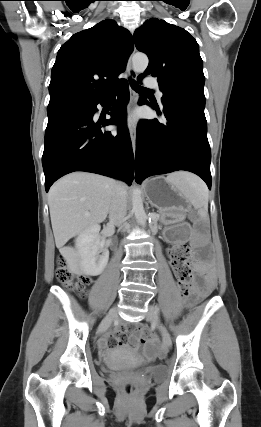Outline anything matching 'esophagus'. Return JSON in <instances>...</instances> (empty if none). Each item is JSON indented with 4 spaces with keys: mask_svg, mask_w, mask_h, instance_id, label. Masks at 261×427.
Instances as JSON below:
<instances>
[{
    "mask_svg": "<svg viewBox=\"0 0 261 427\" xmlns=\"http://www.w3.org/2000/svg\"><path fill=\"white\" fill-rule=\"evenodd\" d=\"M133 53H134V51H133ZM133 53L130 55V57L128 59L127 70L129 72L130 77L132 79H135L137 77V72L133 68V64H132V55H133ZM130 138H131L133 153L135 155V152H136V130H135V128H131L130 129Z\"/></svg>",
    "mask_w": 261,
    "mask_h": 427,
    "instance_id": "obj_1",
    "label": "esophagus"
}]
</instances>
